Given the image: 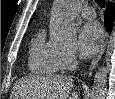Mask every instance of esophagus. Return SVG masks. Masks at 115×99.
<instances>
[{
  "label": "esophagus",
  "mask_w": 115,
  "mask_h": 99,
  "mask_svg": "<svg viewBox=\"0 0 115 99\" xmlns=\"http://www.w3.org/2000/svg\"><path fill=\"white\" fill-rule=\"evenodd\" d=\"M107 41H108V36L105 35L103 43L100 47V50L98 51V53L96 54V56L94 57V59L91 62V65H90V68H89L90 72L96 67V65L98 64L102 55L104 54L106 46H107Z\"/></svg>",
  "instance_id": "34e87169"
}]
</instances>
